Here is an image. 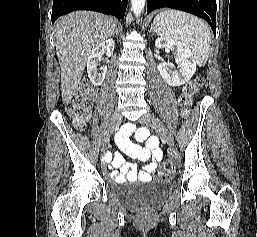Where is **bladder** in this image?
<instances>
[{
  "instance_id": "31cf9c89",
  "label": "bladder",
  "mask_w": 257,
  "mask_h": 237,
  "mask_svg": "<svg viewBox=\"0 0 257 237\" xmlns=\"http://www.w3.org/2000/svg\"><path fill=\"white\" fill-rule=\"evenodd\" d=\"M171 185L167 180L152 181L144 188L124 193L120 199L123 204L132 209L150 210L162 203L171 191Z\"/></svg>"
}]
</instances>
